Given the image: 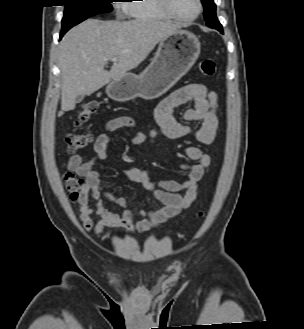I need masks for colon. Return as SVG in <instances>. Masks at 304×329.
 I'll list each match as a JSON object with an SVG mask.
<instances>
[{
	"mask_svg": "<svg viewBox=\"0 0 304 329\" xmlns=\"http://www.w3.org/2000/svg\"><path fill=\"white\" fill-rule=\"evenodd\" d=\"M199 71L205 76H212L216 72V63L212 59H204L199 64ZM99 109V103L95 100H90L83 103L76 114V125L87 123ZM67 149L69 152H75L87 148L91 143L89 134H70L65 138ZM83 182L75 174L67 172L65 175V188L72 201H77Z\"/></svg>",
	"mask_w": 304,
	"mask_h": 329,
	"instance_id": "obj_1",
	"label": "colon"
}]
</instances>
